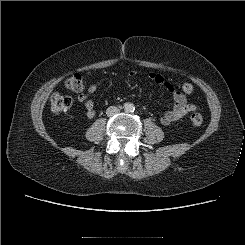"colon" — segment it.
<instances>
[{"mask_svg":"<svg viewBox=\"0 0 245 245\" xmlns=\"http://www.w3.org/2000/svg\"><path fill=\"white\" fill-rule=\"evenodd\" d=\"M66 87L77 93H81L84 89V81L80 74H74L70 76L66 81ZM184 94H191L193 92V86L190 83H184L181 87ZM72 105V100L70 97L54 94L50 100V109L53 113L59 114L66 112ZM192 124L196 127L200 126L203 122V117L200 113H192L190 116Z\"/></svg>","mask_w":245,"mask_h":245,"instance_id":"1","label":"colon"}]
</instances>
